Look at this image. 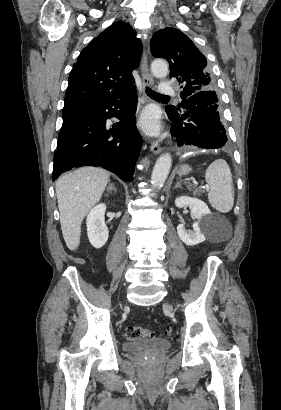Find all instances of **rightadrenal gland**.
<instances>
[{
	"mask_svg": "<svg viewBox=\"0 0 281 410\" xmlns=\"http://www.w3.org/2000/svg\"><path fill=\"white\" fill-rule=\"evenodd\" d=\"M112 190L115 192L117 191L114 184L110 183L109 186L107 187V192H110Z\"/></svg>",
	"mask_w": 281,
	"mask_h": 410,
	"instance_id": "2a0ac1e0",
	"label": "right adrenal gland"
}]
</instances>
